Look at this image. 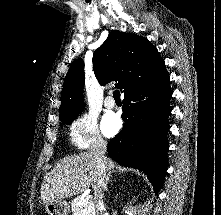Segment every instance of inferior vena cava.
I'll return each instance as SVG.
<instances>
[{
	"mask_svg": "<svg viewBox=\"0 0 221 215\" xmlns=\"http://www.w3.org/2000/svg\"><path fill=\"white\" fill-rule=\"evenodd\" d=\"M106 150L107 146L103 140L96 139L91 144L90 152L95 157L98 168V176L94 185L95 202L98 209L100 210L98 215H101V211L104 210L103 192L105 190L107 180L105 166L107 161V158L105 157Z\"/></svg>",
	"mask_w": 221,
	"mask_h": 215,
	"instance_id": "obj_1",
	"label": "inferior vena cava"
}]
</instances>
